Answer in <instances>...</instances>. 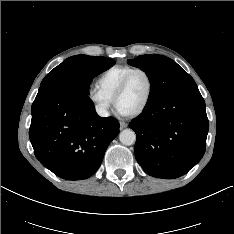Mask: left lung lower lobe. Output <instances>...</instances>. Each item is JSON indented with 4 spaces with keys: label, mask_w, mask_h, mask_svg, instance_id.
<instances>
[{
    "label": "left lung lower lobe",
    "mask_w": 234,
    "mask_h": 234,
    "mask_svg": "<svg viewBox=\"0 0 234 234\" xmlns=\"http://www.w3.org/2000/svg\"><path fill=\"white\" fill-rule=\"evenodd\" d=\"M136 135L135 157L157 178L186 174L203 157L209 122L195 81L185 83L129 123Z\"/></svg>",
    "instance_id": "obj_1"
}]
</instances>
